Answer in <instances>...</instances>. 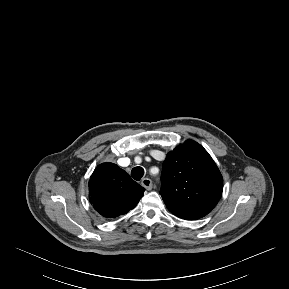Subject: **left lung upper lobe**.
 <instances>
[{"label": "left lung upper lobe", "mask_w": 289, "mask_h": 289, "mask_svg": "<svg viewBox=\"0 0 289 289\" xmlns=\"http://www.w3.org/2000/svg\"><path fill=\"white\" fill-rule=\"evenodd\" d=\"M160 194L171 213L186 219L206 216L218 203L223 179L208 152L187 140L167 154Z\"/></svg>", "instance_id": "5c2ea615"}]
</instances>
